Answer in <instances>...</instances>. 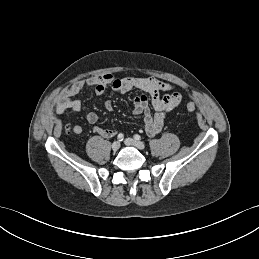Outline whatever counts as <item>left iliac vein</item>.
<instances>
[{
  "label": "left iliac vein",
  "mask_w": 259,
  "mask_h": 259,
  "mask_svg": "<svg viewBox=\"0 0 259 259\" xmlns=\"http://www.w3.org/2000/svg\"><path fill=\"white\" fill-rule=\"evenodd\" d=\"M124 143L127 146H134V147H136L137 149H140V150H143L145 148L144 143H142L141 141L134 140L132 138H126Z\"/></svg>",
  "instance_id": "4c4485c4"
}]
</instances>
